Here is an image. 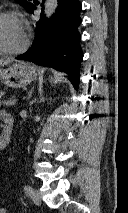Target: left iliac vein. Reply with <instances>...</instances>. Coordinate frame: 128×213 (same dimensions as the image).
<instances>
[{"label": "left iliac vein", "mask_w": 128, "mask_h": 213, "mask_svg": "<svg viewBox=\"0 0 128 213\" xmlns=\"http://www.w3.org/2000/svg\"><path fill=\"white\" fill-rule=\"evenodd\" d=\"M31 198L35 204L37 205L41 204V195L38 191L33 190L31 194Z\"/></svg>", "instance_id": "obj_1"}]
</instances>
